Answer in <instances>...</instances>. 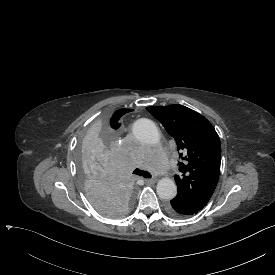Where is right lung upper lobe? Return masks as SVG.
<instances>
[{
  "label": "right lung upper lobe",
  "instance_id": "obj_1",
  "mask_svg": "<svg viewBox=\"0 0 275 275\" xmlns=\"http://www.w3.org/2000/svg\"><path fill=\"white\" fill-rule=\"evenodd\" d=\"M133 111L132 109H120L116 111L110 121L111 127L113 129H118L120 127V123H118L119 119L127 112Z\"/></svg>",
  "mask_w": 275,
  "mask_h": 275
}]
</instances>
